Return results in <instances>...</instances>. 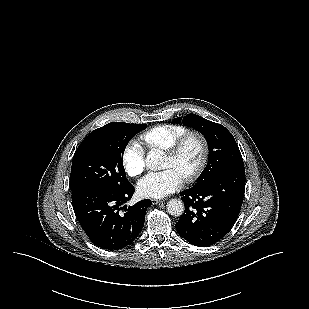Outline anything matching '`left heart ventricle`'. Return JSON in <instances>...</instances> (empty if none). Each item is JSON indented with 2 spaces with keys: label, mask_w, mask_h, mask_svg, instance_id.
<instances>
[{
  "label": "left heart ventricle",
  "mask_w": 309,
  "mask_h": 309,
  "mask_svg": "<svg viewBox=\"0 0 309 309\" xmlns=\"http://www.w3.org/2000/svg\"><path fill=\"white\" fill-rule=\"evenodd\" d=\"M202 155L201 144L198 139L191 138L184 145L176 158L165 156L163 168L174 169L182 178L191 173L199 164Z\"/></svg>",
  "instance_id": "left-heart-ventricle-1"
}]
</instances>
